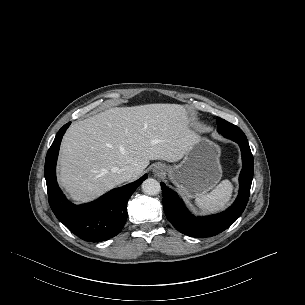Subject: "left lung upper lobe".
I'll return each instance as SVG.
<instances>
[{
	"instance_id": "obj_1",
	"label": "left lung upper lobe",
	"mask_w": 305,
	"mask_h": 305,
	"mask_svg": "<svg viewBox=\"0 0 305 305\" xmlns=\"http://www.w3.org/2000/svg\"><path fill=\"white\" fill-rule=\"evenodd\" d=\"M217 131L226 137L247 139L243 131L224 119L217 118Z\"/></svg>"
}]
</instances>
